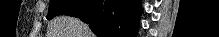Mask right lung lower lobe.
Returning a JSON list of instances; mask_svg holds the SVG:
<instances>
[{"instance_id": "98d812e1", "label": "right lung lower lobe", "mask_w": 219, "mask_h": 37, "mask_svg": "<svg viewBox=\"0 0 219 37\" xmlns=\"http://www.w3.org/2000/svg\"><path fill=\"white\" fill-rule=\"evenodd\" d=\"M140 12L135 0H82L65 14L89 24L98 37H135Z\"/></svg>"}]
</instances>
